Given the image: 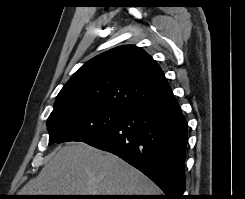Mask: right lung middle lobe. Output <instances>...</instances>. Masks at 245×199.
Listing matches in <instances>:
<instances>
[{"label": "right lung middle lobe", "mask_w": 245, "mask_h": 199, "mask_svg": "<svg viewBox=\"0 0 245 199\" xmlns=\"http://www.w3.org/2000/svg\"><path fill=\"white\" fill-rule=\"evenodd\" d=\"M128 111L85 103L52 111L48 118L49 145L65 141H86L119 123Z\"/></svg>", "instance_id": "1"}]
</instances>
